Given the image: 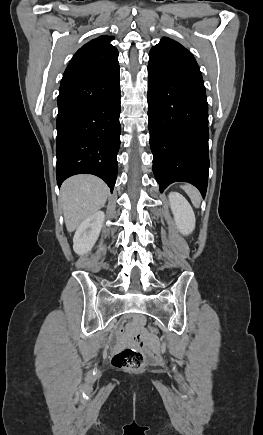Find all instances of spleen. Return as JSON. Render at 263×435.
<instances>
[{"label":"spleen","instance_id":"obj_1","mask_svg":"<svg viewBox=\"0 0 263 435\" xmlns=\"http://www.w3.org/2000/svg\"><path fill=\"white\" fill-rule=\"evenodd\" d=\"M181 188L190 197L192 204L195 207H199L200 203H201V195H200L199 191L191 185H183V186H181Z\"/></svg>","mask_w":263,"mask_h":435}]
</instances>
